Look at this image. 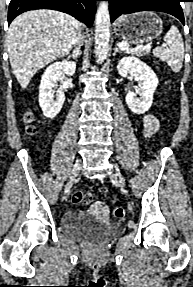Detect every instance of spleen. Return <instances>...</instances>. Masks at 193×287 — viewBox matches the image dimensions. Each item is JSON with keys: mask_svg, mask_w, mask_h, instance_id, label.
I'll use <instances>...</instances> for the list:
<instances>
[{"mask_svg": "<svg viewBox=\"0 0 193 287\" xmlns=\"http://www.w3.org/2000/svg\"><path fill=\"white\" fill-rule=\"evenodd\" d=\"M164 41L168 47H157L153 49V54L161 61L166 62L174 72H179L182 68L184 57V43L178 28L172 25L164 36Z\"/></svg>", "mask_w": 193, "mask_h": 287, "instance_id": "3e777b00", "label": "spleen"}]
</instances>
